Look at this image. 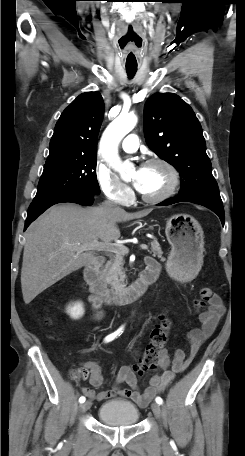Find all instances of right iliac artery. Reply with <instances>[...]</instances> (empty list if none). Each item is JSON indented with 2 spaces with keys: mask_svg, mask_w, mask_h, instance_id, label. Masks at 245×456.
<instances>
[{
  "mask_svg": "<svg viewBox=\"0 0 245 456\" xmlns=\"http://www.w3.org/2000/svg\"><path fill=\"white\" fill-rule=\"evenodd\" d=\"M123 330H124V326H121L118 330H116L115 332L109 334L108 336L105 337L104 341L107 343V342H110L112 340H114L115 338H117L118 336H120L122 333H123ZM86 400V398L84 396H81L79 398V402L80 403H84Z\"/></svg>",
  "mask_w": 245,
  "mask_h": 456,
  "instance_id": "82829eb1",
  "label": "right iliac artery"
}]
</instances>
